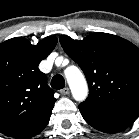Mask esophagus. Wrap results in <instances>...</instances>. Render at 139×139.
Masks as SVG:
<instances>
[{"label":"esophagus","instance_id":"34e87169","mask_svg":"<svg viewBox=\"0 0 139 139\" xmlns=\"http://www.w3.org/2000/svg\"><path fill=\"white\" fill-rule=\"evenodd\" d=\"M60 93L62 95H68L70 93V90L68 87L63 88L62 90H60Z\"/></svg>","mask_w":139,"mask_h":139}]
</instances>
